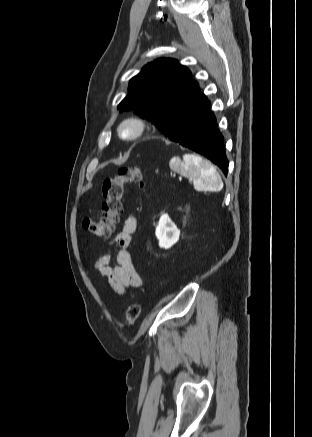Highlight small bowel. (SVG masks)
I'll use <instances>...</instances> for the list:
<instances>
[{
	"label": "small bowel",
	"instance_id": "small-bowel-1",
	"mask_svg": "<svg viewBox=\"0 0 312 437\" xmlns=\"http://www.w3.org/2000/svg\"><path fill=\"white\" fill-rule=\"evenodd\" d=\"M137 227V219L134 214H129L125 219L121 231L113 239L117 245L116 265L111 266L109 253H102L94 261L95 271L109 281L111 288L122 295L129 288H138L142 285V279L136 270L129 246L132 235Z\"/></svg>",
	"mask_w": 312,
	"mask_h": 437
}]
</instances>
